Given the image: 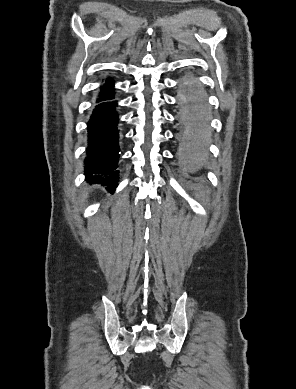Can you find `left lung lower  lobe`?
Wrapping results in <instances>:
<instances>
[{
	"label": "left lung lower lobe",
	"mask_w": 296,
	"mask_h": 389,
	"mask_svg": "<svg viewBox=\"0 0 296 389\" xmlns=\"http://www.w3.org/2000/svg\"><path fill=\"white\" fill-rule=\"evenodd\" d=\"M190 96L187 101V105L189 106V111L188 113L193 115L195 120H193V124L196 126L203 128L205 124L204 120V115H203V110L205 107V99L203 95L198 91L196 87H193ZM190 146V152L192 153L193 156L198 157L200 159L203 157L204 154V149H205V144L203 141L200 139H192L189 143Z\"/></svg>",
	"instance_id": "left-lung-lower-lobe-1"
}]
</instances>
